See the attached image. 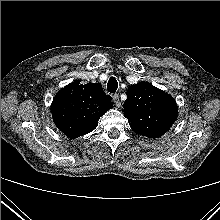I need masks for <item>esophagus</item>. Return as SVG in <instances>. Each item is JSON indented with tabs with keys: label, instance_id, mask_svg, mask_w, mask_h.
I'll use <instances>...</instances> for the list:
<instances>
[{
	"label": "esophagus",
	"instance_id": "1",
	"mask_svg": "<svg viewBox=\"0 0 220 220\" xmlns=\"http://www.w3.org/2000/svg\"><path fill=\"white\" fill-rule=\"evenodd\" d=\"M113 101H114V103H115V105L117 107H120L121 103H120V99H119V95L118 94H114L113 95Z\"/></svg>",
	"mask_w": 220,
	"mask_h": 220
}]
</instances>
